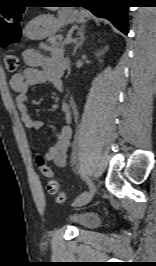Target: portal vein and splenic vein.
<instances>
[{
	"label": "portal vein and splenic vein",
	"instance_id": "18ae733b",
	"mask_svg": "<svg viewBox=\"0 0 156 266\" xmlns=\"http://www.w3.org/2000/svg\"><path fill=\"white\" fill-rule=\"evenodd\" d=\"M75 40H73L72 38H68L67 40H66V43L67 44H70V43H72V42H74Z\"/></svg>",
	"mask_w": 156,
	"mask_h": 266
}]
</instances>
